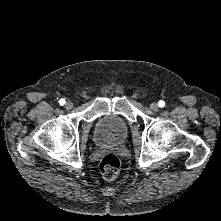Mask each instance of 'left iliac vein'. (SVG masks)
I'll list each match as a JSON object with an SVG mask.
<instances>
[{
  "label": "left iliac vein",
  "instance_id": "4c4485c4",
  "mask_svg": "<svg viewBox=\"0 0 221 221\" xmlns=\"http://www.w3.org/2000/svg\"><path fill=\"white\" fill-rule=\"evenodd\" d=\"M150 109H151L152 111H157V110L159 109L158 103H157V102H152V103L150 104Z\"/></svg>",
  "mask_w": 221,
  "mask_h": 221
}]
</instances>
